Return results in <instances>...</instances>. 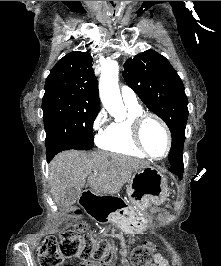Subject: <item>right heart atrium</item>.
Returning <instances> with one entry per match:
<instances>
[{"instance_id":"right-heart-atrium-1","label":"right heart atrium","mask_w":221,"mask_h":266,"mask_svg":"<svg viewBox=\"0 0 221 266\" xmlns=\"http://www.w3.org/2000/svg\"><path fill=\"white\" fill-rule=\"evenodd\" d=\"M107 120V114L106 111L104 109H101L96 117L94 118V121L92 123V128L95 132H99L105 125ZM99 136V134H97V137Z\"/></svg>"}]
</instances>
